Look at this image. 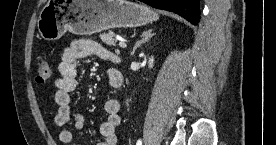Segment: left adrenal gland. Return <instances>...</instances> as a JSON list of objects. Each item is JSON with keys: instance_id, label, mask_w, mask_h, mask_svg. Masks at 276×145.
<instances>
[{"instance_id": "1", "label": "left adrenal gland", "mask_w": 276, "mask_h": 145, "mask_svg": "<svg viewBox=\"0 0 276 145\" xmlns=\"http://www.w3.org/2000/svg\"><path fill=\"white\" fill-rule=\"evenodd\" d=\"M152 31V29L143 31V33L141 34V40L137 41L135 46L133 47V51L131 53L132 55L135 53L138 47H140L143 43L148 42L155 35V33H152Z\"/></svg>"}]
</instances>
